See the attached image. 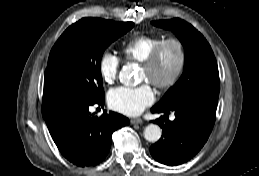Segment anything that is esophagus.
Masks as SVG:
<instances>
[{
	"label": "esophagus",
	"mask_w": 259,
	"mask_h": 176,
	"mask_svg": "<svg viewBox=\"0 0 259 176\" xmlns=\"http://www.w3.org/2000/svg\"><path fill=\"white\" fill-rule=\"evenodd\" d=\"M131 124H142L143 120L141 118H133L130 120Z\"/></svg>",
	"instance_id": "esophagus-1"
}]
</instances>
